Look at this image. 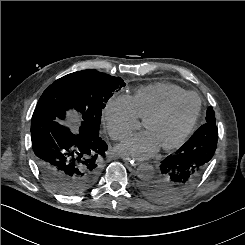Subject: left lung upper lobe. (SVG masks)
I'll list each match as a JSON object with an SVG mask.
<instances>
[{"mask_svg": "<svg viewBox=\"0 0 245 245\" xmlns=\"http://www.w3.org/2000/svg\"><path fill=\"white\" fill-rule=\"evenodd\" d=\"M206 123L216 124L215 114H214V111H213V108L212 107H209L207 109Z\"/></svg>", "mask_w": 245, "mask_h": 245, "instance_id": "left-lung-upper-lobe-1", "label": "left lung upper lobe"}]
</instances>
